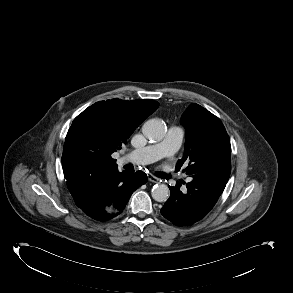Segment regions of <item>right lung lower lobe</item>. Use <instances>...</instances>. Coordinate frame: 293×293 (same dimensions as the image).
<instances>
[{"label": "right lung lower lobe", "mask_w": 293, "mask_h": 293, "mask_svg": "<svg viewBox=\"0 0 293 293\" xmlns=\"http://www.w3.org/2000/svg\"><path fill=\"white\" fill-rule=\"evenodd\" d=\"M147 182V175L142 171L128 173L118 171V166L101 170L84 179L72 195L75 203L87 215L98 221H105L119 215L125 208L132 193ZM85 199L93 204H111L108 210L99 212L85 204Z\"/></svg>", "instance_id": "1"}]
</instances>
